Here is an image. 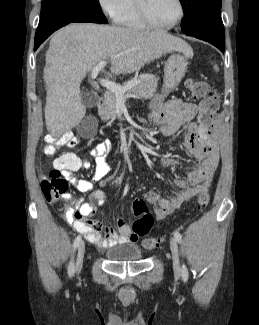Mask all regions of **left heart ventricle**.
Listing matches in <instances>:
<instances>
[{
	"mask_svg": "<svg viewBox=\"0 0 259 325\" xmlns=\"http://www.w3.org/2000/svg\"><path fill=\"white\" fill-rule=\"evenodd\" d=\"M146 9L151 20L159 25H169L178 16L176 0H145Z\"/></svg>",
	"mask_w": 259,
	"mask_h": 325,
	"instance_id": "left-heart-ventricle-1",
	"label": "left heart ventricle"
}]
</instances>
